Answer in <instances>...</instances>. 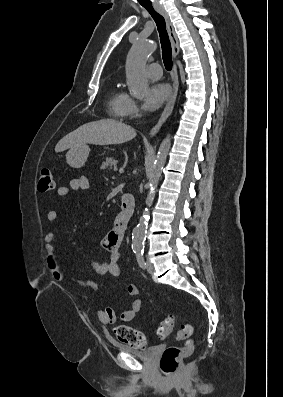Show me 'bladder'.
Segmentation results:
<instances>
[{"mask_svg": "<svg viewBox=\"0 0 283 397\" xmlns=\"http://www.w3.org/2000/svg\"><path fill=\"white\" fill-rule=\"evenodd\" d=\"M116 347L121 351L130 353L136 357H139L143 360L150 361L153 360L157 354L158 347L157 346H149L146 348H136L129 345L117 344Z\"/></svg>", "mask_w": 283, "mask_h": 397, "instance_id": "bladder-1", "label": "bladder"}]
</instances>
